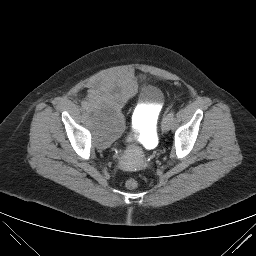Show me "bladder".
<instances>
[{
  "mask_svg": "<svg viewBox=\"0 0 256 256\" xmlns=\"http://www.w3.org/2000/svg\"><path fill=\"white\" fill-rule=\"evenodd\" d=\"M136 92V82L130 77L110 75L97 81L87 97L86 110L98 146L108 147L121 137L125 130L122 108ZM140 92L142 107L135 127L145 139H150L155 135L164 95L154 85H146Z\"/></svg>",
  "mask_w": 256,
  "mask_h": 256,
  "instance_id": "obj_1",
  "label": "bladder"
}]
</instances>
